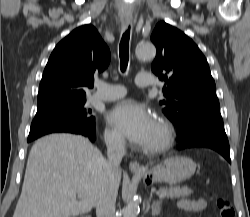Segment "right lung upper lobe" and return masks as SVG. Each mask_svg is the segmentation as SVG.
Listing matches in <instances>:
<instances>
[{"instance_id":"cb5924a9","label":"right lung upper lobe","mask_w":250,"mask_h":217,"mask_svg":"<svg viewBox=\"0 0 250 217\" xmlns=\"http://www.w3.org/2000/svg\"><path fill=\"white\" fill-rule=\"evenodd\" d=\"M110 51L92 25L72 31L53 50L45 67L37 109L57 103L85 99L94 75L104 71Z\"/></svg>"}]
</instances>
